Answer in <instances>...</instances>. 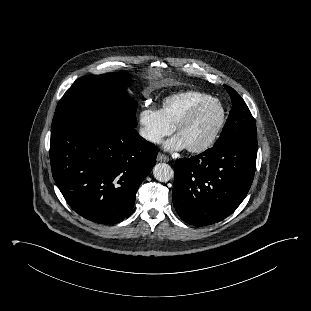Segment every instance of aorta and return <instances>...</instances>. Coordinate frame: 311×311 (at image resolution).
<instances>
[{
	"label": "aorta",
	"instance_id": "obj_1",
	"mask_svg": "<svg viewBox=\"0 0 311 311\" xmlns=\"http://www.w3.org/2000/svg\"><path fill=\"white\" fill-rule=\"evenodd\" d=\"M153 175L160 182H167L174 177V171L166 163H158L153 168Z\"/></svg>",
	"mask_w": 311,
	"mask_h": 311
}]
</instances>
